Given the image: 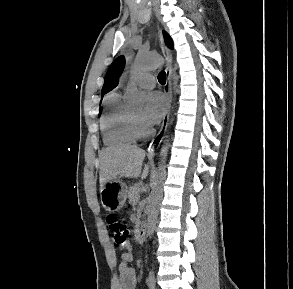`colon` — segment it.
Instances as JSON below:
<instances>
[{"instance_id": "1", "label": "colon", "mask_w": 293, "mask_h": 289, "mask_svg": "<svg viewBox=\"0 0 293 289\" xmlns=\"http://www.w3.org/2000/svg\"><path fill=\"white\" fill-rule=\"evenodd\" d=\"M106 223L115 242L122 247L127 246L129 239V230L126 224L113 215L107 216Z\"/></svg>"}]
</instances>
